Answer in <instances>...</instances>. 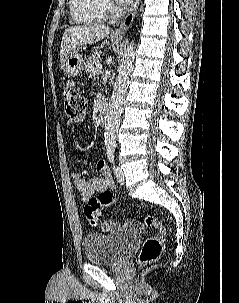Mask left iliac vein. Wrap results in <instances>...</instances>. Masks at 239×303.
<instances>
[{
  "mask_svg": "<svg viewBox=\"0 0 239 303\" xmlns=\"http://www.w3.org/2000/svg\"><path fill=\"white\" fill-rule=\"evenodd\" d=\"M115 176L119 184L124 185L125 183V177L124 172L120 167H117V170L115 171Z\"/></svg>",
  "mask_w": 239,
  "mask_h": 303,
  "instance_id": "obj_1",
  "label": "left iliac vein"
}]
</instances>
